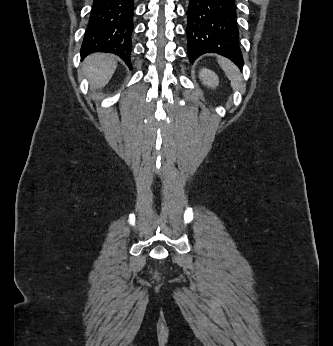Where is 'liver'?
<instances>
[{"label": "liver", "mask_w": 333, "mask_h": 346, "mask_svg": "<svg viewBox=\"0 0 333 346\" xmlns=\"http://www.w3.org/2000/svg\"><path fill=\"white\" fill-rule=\"evenodd\" d=\"M117 67L116 57L104 53L89 55L82 64V70L90 81L92 89L104 87Z\"/></svg>", "instance_id": "obj_1"}]
</instances>
